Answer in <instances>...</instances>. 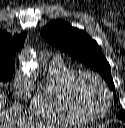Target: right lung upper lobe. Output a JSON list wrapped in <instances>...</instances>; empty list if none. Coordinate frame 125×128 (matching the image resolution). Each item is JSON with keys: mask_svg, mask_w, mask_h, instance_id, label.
I'll use <instances>...</instances> for the list:
<instances>
[{"mask_svg": "<svg viewBox=\"0 0 125 128\" xmlns=\"http://www.w3.org/2000/svg\"><path fill=\"white\" fill-rule=\"evenodd\" d=\"M27 33L15 34L13 37L0 30V66H13L15 68V54L22 49Z\"/></svg>", "mask_w": 125, "mask_h": 128, "instance_id": "right-lung-upper-lobe-1", "label": "right lung upper lobe"}]
</instances>
